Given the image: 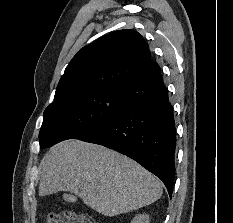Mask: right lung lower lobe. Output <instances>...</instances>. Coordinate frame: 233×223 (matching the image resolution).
<instances>
[{
  "label": "right lung lower lobe",
  "mask_w": 233,
  "mask_h": 223,
  "mask_svg": "<svg viewBox=\"0 0 233 223\" xmlns=\"http://www.w3.org/2000/svg\"><path fill=\"white\" fill-rule=\"evenodd\" d=\"M121 109L80 140L114 149L159 177L171 197L175 123L161 72L121 89Z\"/></svg>",
  "instance_id": "right-lung-lower-lobe-1"
}]
</instances>
